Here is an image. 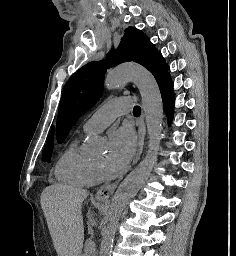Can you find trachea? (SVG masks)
<instances>
[{"instance_id": "1", "label": "trachea", "mask_w": 236, "mask_h": 256, "mask_svg": "<svg viewBox=\"0 0 236 256\" xmlns=\"http://www.w3.org/2000/svg\"><path fill=\"white\" fill-rule=\"evenodd\" d=\"M140 113H141V108H140V106H134L133 114H134V115H139Z\"/></svg>"}]
</instances>
